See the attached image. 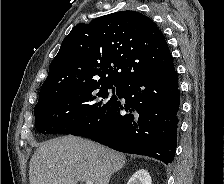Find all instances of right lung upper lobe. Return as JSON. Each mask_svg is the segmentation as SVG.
Masks as SVG:
<instances>
[{"label":"right lung upper lobe","mask_w":224,"mask_h":184,"mask_svg":"<svg viewBox=\"0 0 224 184\" xmlns=\"http://www.w3.org/2000/svg\"><path fill=\"white\" fill-rule=\"evenodd\" d=\"M174 68L157 25L136 11H119L76 25L50 64L38 103L85 83L123 85Z\"/></svg>","instance_id":"right-lung-upper-lobe-1"}]
</instances>
